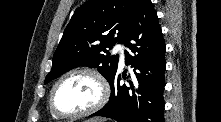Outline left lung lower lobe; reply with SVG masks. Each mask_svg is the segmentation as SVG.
Returning a JSON list of instances; mask_svg holds the SVG:
<instances>
[{"label":"left lung lower lobe","instance_id":"1","mask_svg":"<svg viewBox=\"0 0 221 122\" xmlns=\"http://www.w3.org/2000/svg\"><path fill=\"white\" fill-rule=\"evenodd\" d=\"M124 45L126 64L134 68L131 87L120 85V76L110 82L109 102L91 116L112 118L118 122H164L165 43L151 0H140ZM126 78V75H123Z\"/></svg>","mask_w":221,"mask_h":122}]
</instances>
